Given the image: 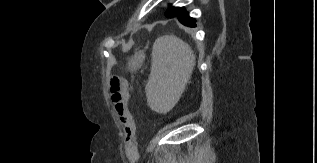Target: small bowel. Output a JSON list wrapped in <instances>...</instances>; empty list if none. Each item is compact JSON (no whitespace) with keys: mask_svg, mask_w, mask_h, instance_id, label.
Instances as JSON below:
<instances>
[{"mask_svg":"<svg viewBox=\"0 0 317 163\" xmlns=\"http://www.w3.org/2000/svg\"><path fill=\"white\" fill-rule=\"evenodd\" d=\"M116 113L120 119L121 124L123 125L126 131V141L129 145V149L133 146V128H134V119L129 111L127 104H115Z\"/></svg>","mask_w":317,"mask_h":163,"instance_id":"c3829d8e","label":"small bowel"}]
</instances>
